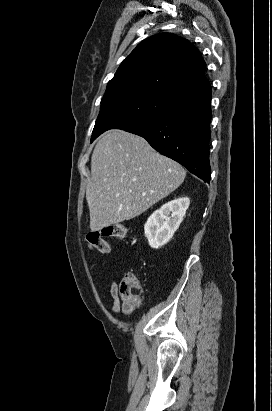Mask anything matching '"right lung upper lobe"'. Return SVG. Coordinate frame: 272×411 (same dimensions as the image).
I'll use <instances>...</instances> for the list:
<instances>
[{"mask_svg":"<svg viewBox=\"0 0 272 411\" xmlns=\"http://www.w3.org/2000/svg\"><path fill=\"white\" fill-rule=\"evenodd\" d=\"M206 63L188 40L171 33L151 36L121 63L105 93L144 89L178 105L211 94Z\"/></svg>","mask_w":272,"mask_h":411,"instance_id":"right-lung-upper-lobe-1","label":"right lung upper lobe"}]
</instances>
